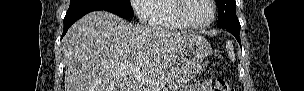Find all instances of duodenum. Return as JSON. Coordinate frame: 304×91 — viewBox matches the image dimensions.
Segmentation results:
<instances>
[{
	"instance_id": "duodenum-1",
	"label": "duodenum",
	"mask_w": 304,
	"mask_h": 91,
	"mask_svg": "<svg viewBox=\"0 0 304 91\" xmlns=\"http://www.w3.org/2000/svg\"><path fill=\"white\" fill-rule=\"evenodd\" d=\"M133 91H139L138 89H133Z\"/></svg>"
}]
</instances>
